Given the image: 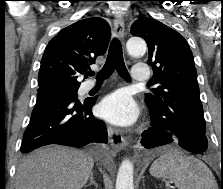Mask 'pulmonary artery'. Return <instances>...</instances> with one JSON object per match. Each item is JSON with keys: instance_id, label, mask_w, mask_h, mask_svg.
Wrapping results in <instances>:
<instances>
[{"instance_id": "e3ab8cb5", "label": "pulmonary artery", "mask_w": 223, "mask_h": 189, "mask_svg": "<svg viewBox=\"0 0 223 189\" xmlns=\"http://www.w3.org/2000/svg\"><path fill=\"white\" fill-rule=\"evenodd\" d=\"M150 71L146 64H135L132 68L131 78L135 82H146L149 79ZM95 86L94 82L86 84V90H90Z\"/></svg>"}]
</instances>
